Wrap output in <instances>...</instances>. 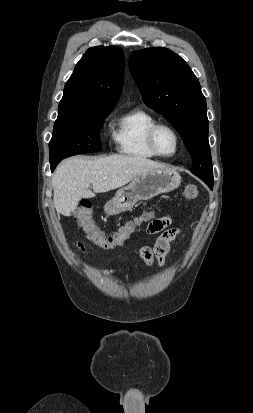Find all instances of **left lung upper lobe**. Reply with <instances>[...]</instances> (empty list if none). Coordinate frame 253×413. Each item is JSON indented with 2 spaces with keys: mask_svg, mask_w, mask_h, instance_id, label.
<instances>
[{
  "mask_svg": "<svg viewBox=\"0 0 253 413\" xmlns=\"http://www.w3.org/2000/svg\"><path fill=\"white\" fill-rule=\"evenodd\" d=\"M129 69L146 105L179 132L193 159L191 172L213 178L206 100L188 64L173 51L155 47L133 52Z\"/></svg>",
  "mask_w": 253,
  "mask_h": 413,
  "instance_id": "obj_1",
  "label": "left lung upper lobe"
}]
</instances>
